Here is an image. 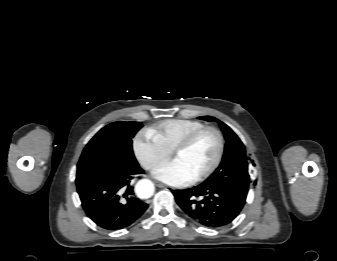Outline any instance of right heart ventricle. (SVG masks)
Listing matches in <instances>:
<instances>
[{"mask_svg": "<svg viewBox=\"0 0 337 261\" xmlns=\"http://www.w3.org/2000/svg\"><path fill=\"white\" fill-rule=\"evenodd\" d=\"M203 126L202 122L196 120L167 119L154 125L148 131L166 151L171 153L189 133Z\"/></svg>", "mask_w": 337, "mask_h": 261, "instance_id": "1", "label": "right heart ventricle"}]
</instances>
